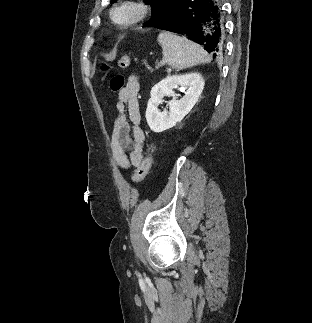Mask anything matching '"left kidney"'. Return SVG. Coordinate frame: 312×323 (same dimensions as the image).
I'll use <instances>...</instances> for the list:
<instances>
[{"instance_id":"5707ae66","label":"left kidney","mask_w":312,"mask_h":323,"mask_svg":"<svg viewBox=\"0 0 312 323\" xmlns=\"http://www.w3.org/2000/svg\"><path fill=\"white\" fill-rule=\"evenodd\" d=\"M175 88L185 90L181 100H177L174 96L173 90ZM203 88L204 80L198 72L196 74H184V76H167L159 84L153 86L146 110V120L150 130L152 132H164V130H170V128L176 126L177 122H181L198 102ZM164 96H173V100L168 102L169 112L158 110L159 104L164 102Z\"/></svg>"}]
</instances>
